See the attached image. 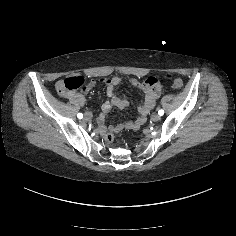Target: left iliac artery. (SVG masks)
I'll use <instances>...</instances> for the list:
<instances>
[{
    "instance_id": "1",
    "label": "left iliac artery",
    "mask_w": 236,
    "mask_h": 236,
    "mask_svg": "<svg viewBox=\"0 0 236 236\" xmlns=\"http://www.w3.org/2000/svg\"><path fill=\"white\" fill-rule=\"evenodd\" d=\"M158 114H159L160 116H162V115L164 114V111L161 109V110L158 111Z\"/></svg>"
}]
</instances>
